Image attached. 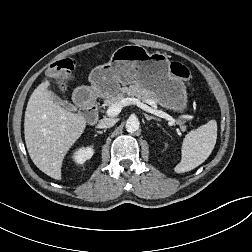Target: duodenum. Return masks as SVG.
Here are the masks:
<instances>
[{
	"mask_svg": "<svg viewBox=\"0 0 252 252\" xmlns=\"http://www.w3.org/2000/svg\"><path fill=\"white\" fill-rule=\"evenodd\" d=\"M81 96L82 97H87V92L84 91L81 94ZM84 113H85V116L90 121H92V122H96L97 121V119H98V108H97L96 103L93 100H91V102L86 105Z\"/></svg>",
	"mask_w": 252,
	"mask_h": 252,
	"instance_id": "obj_1",
	"label": "duodenum"
}]
</instances>
